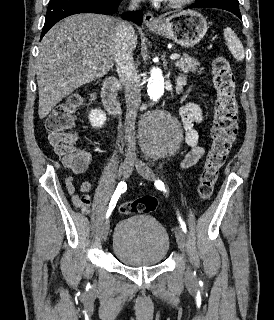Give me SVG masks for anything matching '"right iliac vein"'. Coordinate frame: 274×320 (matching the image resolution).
<instances>
[{"instance_id": "63e3f726", "label": "right iliac vein", "mask_w": 274, "mask_h": 320, "mask_svg": "<svg viewBox=\"0 0 274 320\" xmlns=\"http://www.w3.org/2000/svg\"><path fill=\"white\" fill-rule=\"evenodd\" d=\"M135 164V161L131 158H127L124 160V162H122L120 169H119V173L123 178H126L130 175L132 168ZM109 230H110V221L106 220L101 228V239L103 241H105L108 237L109 234Z\"/></svg>"}]
</instances>
